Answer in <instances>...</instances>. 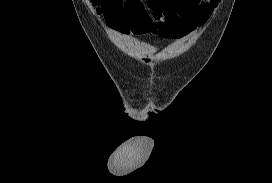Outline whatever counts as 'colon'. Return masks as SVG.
<instances>
[{
  "mask_svg": "<svg viewBox=\"0 0 272 183\" xmlns=\"http://www.w3.org/2000/svg\"><path fill=\"white\" fill-rule=\"evenodd\" d=\"M102 0H91V2H93L94 5H98L99 2H101Z\"/></svg>",
  "mask_w": 272,
  "mask_h": 183,
  "instance_id": "5ec220e1",
  "label": "colon"
}]
</instances>
